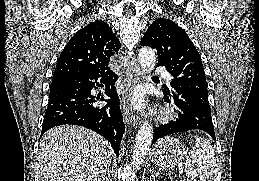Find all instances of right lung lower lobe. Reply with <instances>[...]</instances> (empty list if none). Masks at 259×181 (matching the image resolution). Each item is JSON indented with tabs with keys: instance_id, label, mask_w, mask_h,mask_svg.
<instances>
[{
	"instance_id": "obj_1",
	"label": "right lung lower lobe",
	"mask_w": 259,
	"mask_h": 181,
	"mask_svg": "<svg viewBox=\"0 0 259 181\" xmlns=\"http://www.w3.org/2000/svg\"><path fill=\"white\" fill-rule=\"evenodd\" d=\"M117 78V74L108 68L100 72L77 75L51 85L41 135L59 125L84 126L107 139L118 156L125 126L114 86ZM103 85L110 99L105 100L102 97L100 100L106 101L107 104L96 107L93 104L97 100L91 95V90Z\"/></svg>"
}]
</instances>
